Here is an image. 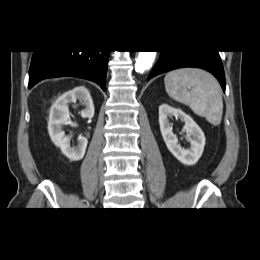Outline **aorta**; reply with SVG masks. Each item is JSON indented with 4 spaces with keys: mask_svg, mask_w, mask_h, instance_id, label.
I'll return each mask as SVG.
<instances>
[{
    "mask_svg": "<svg viewBox=\"0 0 260 260\" xmlns=\"http://www.w3.org/2000/svg\"><path fill=\"white\" fill-rule=\"evenodd\" d=\"M156 57V51H140L135 63V69L139 73H143L152 67Z\"/></svg>",
    "mask_w": 260,
    "mask_h": 260,
    "instance_id": "obj_1",
    "label": "aorta"
}]
</instances>
